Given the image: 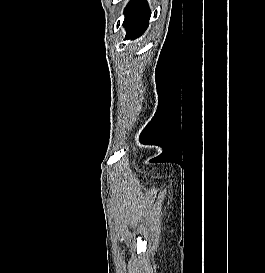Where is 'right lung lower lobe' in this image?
Here are the masks:
<instances>
[{"instance_id":"98d812e1","label":"right lung lower lobe","mask_w":265,"mask_h":273,"mask_svg":"<svg viewBox=\"0 0 265 273\" xmlns=\"http://www.w3.org/2000/svg\"><path fill=\"white\" fill-rule=\"evenodd\" d=\"M124 13L126 39H134L140 36L146 30L150 18V10L146 0H131Z\"/></svg>"}]
</instances>
